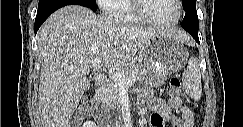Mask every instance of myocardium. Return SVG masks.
Segmentation results:
<instances>
[{
  "label": "myocardium",
  "mask_w": 243,
  "mask_h": 127,
  "mask_svg": "<svg viewBox=\"0 0 243 127\" xmlns=\"http://www.w3.org/2000/svg\"><path fill=\"white\" fill-rule=\"evenodd\" d=\"M143 1L144 0H133V10L135 12V14L145 23L153 25V26H158V27H172L177 25L182 16H183V6H182V1L180 0H174L177 9H178V15L177 17L170 22H161V21H157L155 19H153L152 17H150L144 10V6H143Z\"/></svg>",
  "instance_id": "f54148a6"
}]
</instances>
